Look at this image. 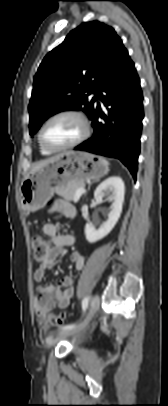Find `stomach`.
<instances>
[{"label": "stomach", "mask_w": 168, "mask_h": 406, "mask_svg": "<svg viewBox=\"0 0 168 406\" xmlns=\"http://www.w3.org/2000/svg\"><path fill=\"white\" fill-rule=\"evenodd\" d=\"M108 171V165L96 155L81 151L64 152L55 162L30 173L23 180L21 205L25 211L34 212L45 206L58 189L98 180Z\"/></svg>", "instance_id": "1"}]
</instances>
